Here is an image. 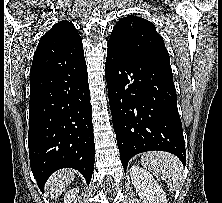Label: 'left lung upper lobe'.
<instances>
[{
    "instance_id": "1",
    "label": "left lung upper lobe",
    "mask_w": 222,
    "mask_h": 203,
    "mask_svg": "<svg viewBox=\"0 0 222 203\" xmlns=\"http://www.w3.org/2000/svg\"><path fill=\"white\" fill-rule=\"evenodd\" d=\"M108 47L132 58H153L170 63L163 38L150 21L130 15L114 26Z\"/></svg>"
}]
</instances>
